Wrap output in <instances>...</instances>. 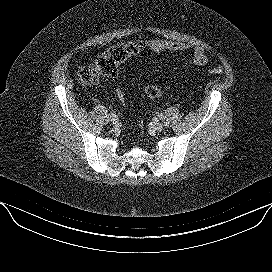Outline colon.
I'll use <instances>...</instances> for the list:
<instances>
[{
	"mask_svg": "<svg viewBox=\"0 0 272 272\" xmlns=\"http://www.w3.org/2000/svg\"><path fill=\"white\" fill-rule=\"evenodd\" d=\"M142 48L143 44L138 41L111 47L101 53L93 63L82 66L78 69L76 73L78 82L85 86H92L97 84L103 77H113L117 72L118 66L129 57L139 53ZM208 72L212 74H220L223 72V68L215 66L210 68ZM143 91L151 98H157L164 94L162 89L148 84L143 86ZM116 95L120 101L124 100L122 90L118 89Z\"/></svg>",
	"mask_w": 272,
	"mask_h": 272,
	"instance_id": "colon-1",
	"label": "colon"
}]
</instances>
